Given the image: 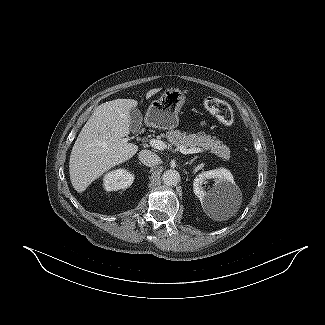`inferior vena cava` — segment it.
Segmentation results:
<instances>
[{
    "label": "inferior vena cava",
    "instance_id": "obj_1",
    "mask_svg": "<svg viewBox=\"0 0 325 325\" xmlns=\"http://www.w3.org/2000/svg\"><path fill=\"white\" fill-rule=\"evenodd\" d=\"M139 160L146 166L152 167L158 164L159 156L150 150H142L139 152Z\"/></svg>",
    "mask_w": 325,
    "mask_h": 325
}]
</instances>
